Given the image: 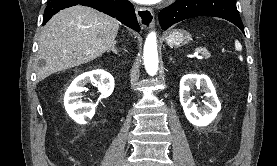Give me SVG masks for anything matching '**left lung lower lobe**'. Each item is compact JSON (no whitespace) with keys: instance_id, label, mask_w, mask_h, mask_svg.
Returning <instances> with one entry per match:
<instances>
[{"instance_id":"left-lung-lower-lobe-1","label":"left lung lower lobe","mask_w":277,"mask_h":166,"mask_svg":"<svg viewBox=\"0 0 277 166\" xmlns=\"http://www.w3.org/2000/svg\"><path fill=\"white\" fill-rule=\"evenodd\" d=\"M198 16L226 19L244 33L235 0H176L159 13V21L161 28L166 30L177 22Z\"/></svg>"}]
</instances>
